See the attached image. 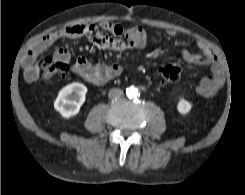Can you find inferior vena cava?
Segmentation results:
<instances>
[{
  "label": "inferior vena cava",
  "instance_id": "inferior-vena-cava-1",
  "mask_svg": "<svg viewBox=\"0 0 245 195\" xmlns=\"http://www.w3.org/2000/svg\"><path fill=\"white\" fill-rule=\"evenodd\" d=\"M123 95H124L123 90H121L119 88H113L108 93V97L110 99L121 98Z\"/></svg>",
  "mask_w": 245,
  "mask_h": 195
}]
</instances>
